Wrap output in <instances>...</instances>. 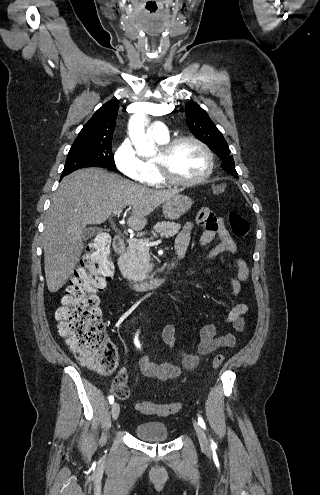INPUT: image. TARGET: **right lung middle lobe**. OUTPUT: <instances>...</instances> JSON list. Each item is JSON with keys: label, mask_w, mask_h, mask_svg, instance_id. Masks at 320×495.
I'll return each instance as SVG.
<instances>
[{"label": "right lung middle lobe", "mask_w": 320, "mask_h": 495, "mask_svg": "<svg viewBox=\"0 0 320 495\" xmlns=\"http://www.w3.org/2000/svg\"><path fill=\"white\" fill-rule=\"evenodd\" d=\"M84 167L115 169L116 166L112 154V143L73 144L68 153L61 178Z\"/></svg>", "instance_id": "1"}]
</instances>
